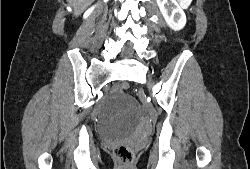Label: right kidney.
I'll return each mask as SVG.
<instances>
[{"instance_id":"right-kidney-1","label":"right kidney","mask_w":250,"mask_h":169,"mask_svg":"<svg viewBox=\"0 0 250 169\" xmlns=\"http://www.w3.org/2000/svg\"><path fill=\"white\" fill-rule=\"evenodd\" d=\"M95 6H90V8H87V10H85L84 14H83V18H87V16H89V14H91V12H93Z\"/></svg>"}]
</instances>
